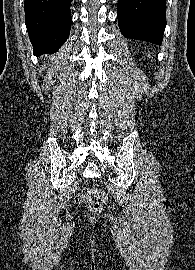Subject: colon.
Listing matches in <instances>:
<instances>
[{"instance_id":"1","label":"colon","mask_w":195,"mask_h":270,"mask_svg":"<svg viewBox=\"0 0 195 270\" xmlns=\"http://www.w3.org/2000/svg\"><path fill=\"white\" fill-rule=\"evenodd\" d=\"M95 196L99 198L101 201L105 202L108 199V196L105 192L93 189L89 192H82L79 193L76 200L77 202H86L89 201V209L93 213H98L102 209V205L100 202L97 201H90V197Z\"/></svg>"}]
</instances>
